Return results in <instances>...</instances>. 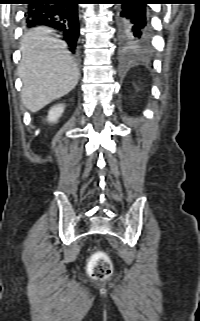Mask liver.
<instances>
[{"mask_svg": "<svg viewBox=\"0 0 200 321\" xmlns=\"http://www.w3.org/2000/svg\"><path fill=\"white\" fill-rule=\"evenodd\" d=\"M50 34L49 29L39 27L26 33L21 41V99L31 112L69 93L80 76L66 43Z\"/></svg>", "mask_w": 200, "mask_h": 321, "instance_id": "obj_1", "label": "liver"}]
</instances>
